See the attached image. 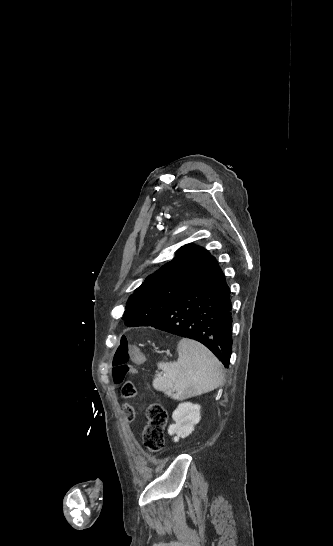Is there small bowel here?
Wrapping results in <instances>:
<instances>
[{"instance_id": "small-bowel-1", "label": "small bowel", "mask_w": 333, "mask_h": 546, "mask_svg": "<svg viewBox=\"0 0 333 546\" xmlns=\"http://www.w3.org/2000/svg\"><path fill=\"white\" fill-rule=\"evenodd\" d=\"M146 361L147 358L141 346H132L130 348V362L132 365H137L138 367L143 368ZM121 408L125 411L124 415L126 416V420L128 422H132L134 420L133 416L137 411L136 408H134L130 403H123Z\"/></svg>"}]
</instances>
